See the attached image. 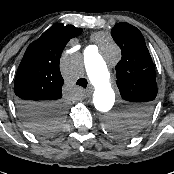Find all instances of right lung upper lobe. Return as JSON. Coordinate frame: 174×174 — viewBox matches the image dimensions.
I'll return each mask as SVG.
<instances>
[{"mask_svg": "<svg viewBox=\"0 0 174 174\" xmlns=\"http://www.w3.org/2000/svg\"><path fill=\"white\" fill-rule=\"evenodd\" d=\"M81 33V28L56 24L29 45L15 77L17 100L59 102L64 84L59 69L61 53L68 41ZM38 120L39 113L26 118L27 123Z\"/></svg>", "mask_w": 174, "mask_h": 174, "instance_id": "obj_1", "label": "right lung upper lobe"}]
</instances>
